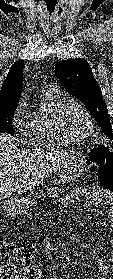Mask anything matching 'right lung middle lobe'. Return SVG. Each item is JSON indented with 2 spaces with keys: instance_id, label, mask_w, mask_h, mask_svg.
Listing matches in <instances>:
<instances>
[{
  "instance_id": "dd1d6c3e",
  "label": "right lung middle lobe",
  "mask_w": 113,
  "mask_h": 279,
  "mask_svg": "<svg viewBox=\"0 0 113 279\" xmlns=\"http://www.w3.org/2000/svg\"><path fill=\"white\" fill-rule=\"evenodd\" d=\"M15 108L5 109L0 111V133L15 134L12 125V117Z\"/></svg>"
}]
</instances>
